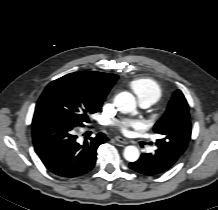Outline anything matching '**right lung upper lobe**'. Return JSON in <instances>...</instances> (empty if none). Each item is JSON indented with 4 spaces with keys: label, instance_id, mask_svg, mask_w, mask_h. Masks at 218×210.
<instances>
[{
    "label": "right lung upper lobe",
    "instance_id": "1",
    "mask_svg": "<svg viewBox=\"0 0 218 210\" xmlns=\"http://www.w3.org/2000/svg\"><path fill=\"white\" fill-rule=\"evenodd\" d=\"M117 79L115 74L83 71L67 74L56 81L102 105Z\"/></svg>",
    "mask_w": 218,
    "mask_h": 210
}]
</instances>
